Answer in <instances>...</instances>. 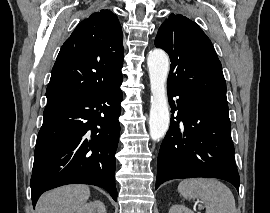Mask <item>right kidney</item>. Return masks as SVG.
<instances>
[{"instance_id": "right-kidney-1", "label": "right kidney", "mask_w": 270, "mask_h": 213, "mask_svg": "<svg viewBox=\"0 0 270 213\" xmlns=\"http://www.w3.org/2000/svg\"><path fill=\"white\" fill-rule=\"evenodd\" d=\"M76 213H106V209L103 202L95 200L80 207Z\"/></svg>"}]
</instances>
